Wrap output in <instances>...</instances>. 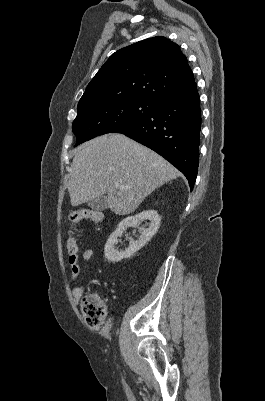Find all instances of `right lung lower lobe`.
I'll use <instances>...</instances> for the list:
<instances>
[{
    "instance_id": "1",
    "label": "right lung lower lobe",
    "mask_w": 265,
    "mask_h": 401,
    "mask_svg": "<svg viewBox=\"0 0 265 401\" xmlns=\"http://www.w3.org/2000/svg\"><path fill=\"white\" fill-rule=\"evenodd\" d=\"M201 108L197 85L158 102L144 119L115 130L154 150L178 170L194 187L199 165Z\"/></svg>"
}]
</instances>
